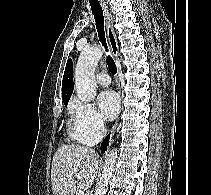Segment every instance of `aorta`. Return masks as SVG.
<instances>
[{
  "instance_id": "obj_1",
  "label": "aorta",
  "mask_w": 211,
  "mask_h": 195,
  "mask_svg": "<svg viewBox=\"0 0 211 195\" xmlns=\"http://www.w3.org/2000/svg\"><path fill=\"white\" fill-rule=\"evenodd\" d=\"M101 47H93L82 51L75 68V88L78 98L89 102L96 97L97 85L94 78L95 68L102 57ZM117 150L112 149L102 169V174L96 195H105L108 190L109 180L115 168Z\"/></svg>"
}]
</instances>
